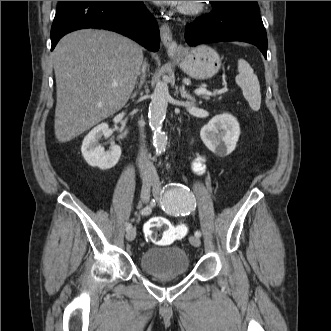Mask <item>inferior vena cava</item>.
I'll use <instances>...</instances> for the list:
<instances>
[{"mask_svg": "<svg viewBox=\"0 0 331 331\" xmlns=\"http://www.w3.org/2000/svg\"><path fill=\"white\" fill-rule=\"evenodd\" d=\"M143 71L145 70V65H143ZM139 126L141 128V132H143L144 123L139 121ZM142 141L144 142V135L141 134ZM138 167L142 177L146 180H155L157 175L156 172L149 160L147 150L145 149V144L141 145L140 153L138 156Z\"/></svg>", "mask_w": 331, "mask_h": 331, "instance_id": "obj_1", "label": "inferior vena cava"}]
</instances>
